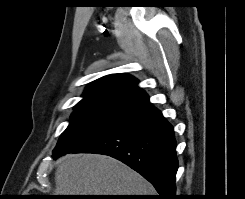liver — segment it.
I'll return each mask as SVG.
<instances>
[{
	"instance_id": "obj_1",
	"label": "liver",
	"mask_w": 245,
	"mask_h": 199,
	"mask_svg": "<svg viewBox=\"0 0 245 199\" xmlns=\"http://www.w3.org/2000/svg\"><path fill=\"white\" fill-rule=\"evenodd\" d=\"M56 195H155L154 187L120 161L98 154H69L55 172Z\"/></svg>"
}]
</instances>
